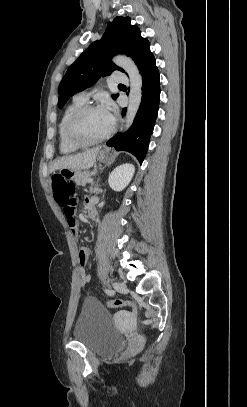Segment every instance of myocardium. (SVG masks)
I'll return each mask as SVG.
<instances>
[{"label":"myocardium","mask_w":247,"mask_h":407,"mask_svg":"<svg viewBox=\"0 0 247 407\" xmlns=\"http://www.w3.org/2000/svg\"><path fill=\"white\" fill-rule=\"evenodd\" d=\"M95 109H101V108H100V106L95 105V104H83L82 106L77 108L72 113V115L69 117L67 126H66V135H67L68 140L72 144L80 146V147L97 145V144H100V143L106 141L107 139H109L111 137V135L114 133L115 126H114V124H112L110 130L105 135H103L102 137H100L98 139L86 140L78 134L77 124H78L80 118L85 113H87L91 110H95Z\"/></svg>","instance_id":"1"}]
</instances>
